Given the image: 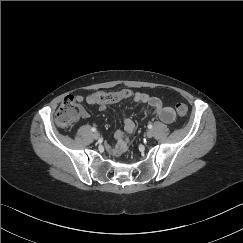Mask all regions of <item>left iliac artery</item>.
Returning <instances> with one entry per match:
<instances>
[{"label": "left iliac artery", "instance_id": "44dca946", "mask_svg": "<svg viewBox=\"0 0 243 243\" xmlns=\"http://www.w3.org/2000/svg\"><path fill=\"white\" fill-rule=\"evenodd\" d=\"M148 129H152V124H148Z\"/></svg>", "mask_w": 243, "mask_h": 243}]
</instances>
